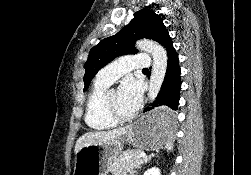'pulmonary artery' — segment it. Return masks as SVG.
I'll return each instance as SVG.
<instances>
[{"label": "pulmonary artery", "instance_id": "e3ab8cb5", "mask_svg": "<svg viewBox=\"0 0 251 175\" xmlns=\"http://www.w3.org/2000/svg\"><path fill=\"white\" fill-rule=\"evenodd\" d=\"M125 58H116L115 62H108V67L102 69L97 79L111 85L120 76H127L128 70L142 71L151 66V57L147 52H131Z\"/></svg>", "mask_w": 251, "mask_h": 175}]
</instances>
